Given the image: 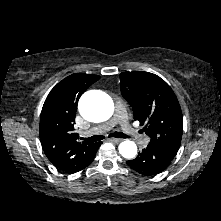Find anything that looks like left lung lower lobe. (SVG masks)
I'll use <instances>...</instances> for the list:
<instances>
[{
    "mask_svg": "<svg viewBox=\"0 0 221 221\" xmlns=\"http://www.w3.org/2000/svg\"><path fill=\"white\" fill-rule=\"evenodd\" d=\"M174 157L175 154L148 144L136 159L127 161V164L142 175H156L165 170Z\"/></svg>",
    "mask_w": 221,
    "mask_h": 221,
    "instance_id": "obj_1",
    "label": "left lung lower lobe"
}]
</instances>
